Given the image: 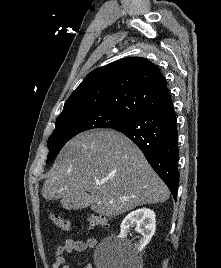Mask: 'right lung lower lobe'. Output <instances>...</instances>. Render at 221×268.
I'll return each instance as SVG.
<instances>
[{
	"mask_svg": "<svg viewBox=\"0 0 221 268\" xmlns=\"http://www.w3.org/2000/svg\"><path fill=\"white\" fill-rule=\"evenodd\" d=\"M112 129L125 134L141 149L151 167L176 199L179 151L173 104L120 123Z\"/></svg>",
	"mask_w": 221,
	"mask_h": 268,
	"instance_id": "98d812e1",
	"label": "right lung lower lobe"
}]
</instances>
